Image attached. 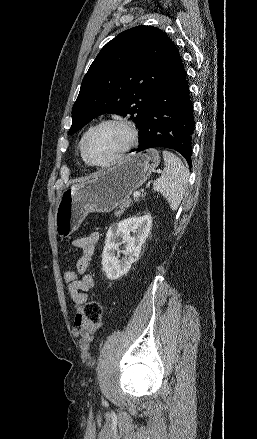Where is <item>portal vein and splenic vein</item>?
I'll use <instances>...</instances> for the list:
<instances>
[{
  "instance_id": "portal-vein-and-splenic-vein-1",
  "label": "portal vein and splenic vein",
  "mask_w": 257,
  "mask_h": 439,
  "mask_svg": "<svg viewBox=\"0 0 257 439\" xmlns=\"http://www.w3.org/2000/svg\"><path fill=\"white\" fill-rule=\"evenodd\" d=\"M140 194H141L140 191H135V192L133 193V197H134V198H137V197L140 196Z\"/></svg>"
}]
</instances>
